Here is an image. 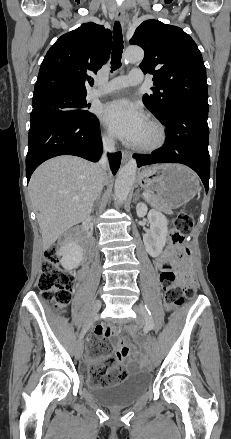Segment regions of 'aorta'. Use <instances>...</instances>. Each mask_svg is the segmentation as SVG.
<instances>
[{"label": "aorta", "instance_id": "aorta-1", "mask_svg": "<svg viewBox=\"0 0 231 439\" xmlns=\"http://www.w3.org/2000/svg\"><path fill=\"white\" fill-rule=\"evenodd\" d=\"M143 57L144 52L139 47H129L124 53V61L127 63L141 61ZM136 170L137 162L134 159H130L120 169L114 186V195L117 203H122L127 198L135 181Z\"/></svg>", "mask_w": 231, "mask_h": 439}]
</instances>
